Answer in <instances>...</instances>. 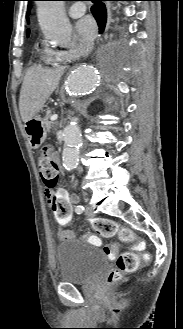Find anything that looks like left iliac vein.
Instances as JSON below:
<instances>
[{"mask_svg": "<svg viewBox=\"0 0 183 329\" xmlns=\"http://www.w3.org/2000/svg\"><path fill=\"white\" fill-rule=\"evenodd\" d=\"M85 214L88 217H94L95 216L94 210H93V208L90 205H87L86 206V208H85Z\"/></svg>", "mask_w": 183, "mask_h": 329, "instance_id": "4c4485c4", "label": "left iliac vein"}]
</instances>
